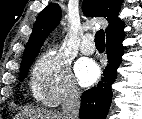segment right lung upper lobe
<instances>
[{"label": "right lung upper lobe", "mask_w": 142, "mask_h": 119, "mask_svg": "<svg viewBox=\"0 0 142 119\" xmlns=\"http://www.w3.org/2000/svg\"><path fill=\"white\" fill-rule=\"evenodd\" d=\"M122 0H84L83 12L90 17H104L108 20L107 39L124 34V22L118 18ZM61 8L51 3L38 15L32 34L23 53L22 65L34 59L49 33L59 24Z\"/></svg>", "instance_id": "1"}]
</instances>
